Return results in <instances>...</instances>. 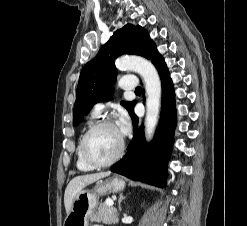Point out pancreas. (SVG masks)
<instances>
[{
	"label": "pancreas",
	"mask_w": 247,
	"mask_h": 226,
	"mask_svg": "<svg viewBox=\"0 0 247 226\" xmlns=\"http://www.w3.org/2000/svg\"><path fill=\"white\" fill-rule=\"evenodd\" d=\"M92 221L112 224L117 221V213L114 207L108 206L106 203L100 204L98 211L92 215ZM100 226V225H95Z\"/></svg>",
	"instance_id": "obj_1"
}]
</instances>
